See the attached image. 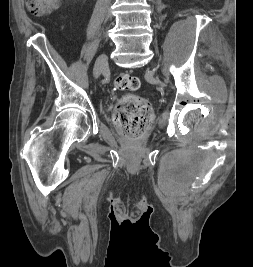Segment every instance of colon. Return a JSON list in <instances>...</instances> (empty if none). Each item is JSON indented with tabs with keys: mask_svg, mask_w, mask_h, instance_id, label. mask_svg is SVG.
Segmentation results:
<instances>
[{
	"mask_svg": "<svg viewBox=\"0 0 253 267\" xmlns=\"http://www.w3.org/2000/svg\"><path fill=\"white\" fill-rule=\"evenodd\" d=\"M28 10L37 16L51 13L59 5V0H27ZM115 87L122 91H134L140 87V79L120 73L114 80ZM151 121V105L140 97L128 95L122 98L114 113V122L120 132L129 139H139Z\"/></svg>",
	"mask_w": 253,
	"mask_h": 267,
	"instance_id": "colon-1",
	"label": "colon"
}]
</instances>
